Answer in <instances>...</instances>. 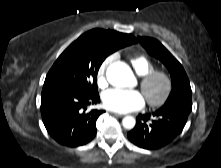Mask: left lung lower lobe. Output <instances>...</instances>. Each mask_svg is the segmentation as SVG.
Instances as JSON below:
<instances>
[{
  "label": "left lung lower lobe",
  "instance_id": "obj_1",
  "mask_svg": "<svg viewBox=\"0 0 221 168\" xmlns=\"http://www.w3.org/2000/svg\"><path fill=\"white\" fill-rule=\"evenodd\" d=\"M190 112L189 108L175 107L139 115L135 127L127 134L128 139L144 149L161 148L182 132ZM151 116L154 120L149 122Z\"/></svg>",
  "mask_w": 221,
  "mask_h": 168
}]
</instances>
